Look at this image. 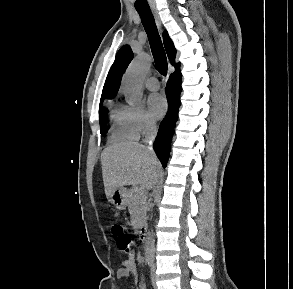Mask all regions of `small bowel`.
<instances>
[{
    "mask_svg": "<svg viewBox=\"0 0 293 289\" xmlns=\"http://www.w3.org/2000/svg\"><path fill=\"white\" fill-rule=\"evenodd\" d=\"M137 270V265L135 261L133 260L132 256H129L127 259H125L121 265V267L117 271V277L119 279H125L130 277L131 275H134ZM140 289H145L144 287H141Z\"/></svg>",
    "mask_w": 293,
    "mask_h": 289,
    "instance_id": "small-bowel-1",
    "label": "small bowel"
}]
</instances>
